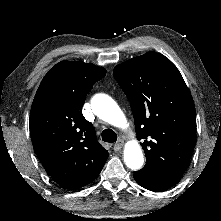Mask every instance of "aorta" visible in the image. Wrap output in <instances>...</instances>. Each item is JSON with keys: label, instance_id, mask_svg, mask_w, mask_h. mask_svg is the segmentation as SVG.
<instances>
[{"label": "aorta", "instance_id": "1", "mask_svg": "<svg viewBox=\"0 0 221 221\" xmlns=\"http://www.w3.org/2000/svg\"><path fill=\"white\" fill-rule=\"evenodd\" d=\"M91 108L100 119L115 127L125 128L128 125L127 119L118 104L106 94H96L93 96ZM124 162L132 170H138L143 166L144 157L137 141L126 143Z\"/></svg>", "mask_w": 221, "mask_h": 221}]
</instances>
